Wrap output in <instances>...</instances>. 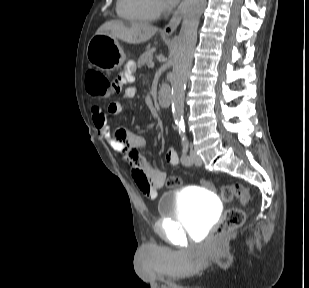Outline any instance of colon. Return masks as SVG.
Here are the masks:
<instances>
[{
  "label": "colon",
  "instance_id": "obj_1",
  "mask_svg": "<svg viewBox=\"0 0 309 288\" xmlns=\"http://www.w3.org/2000/svg\"><path fill=\"white\" fill-rule=\"evenodd\" d=\"M85 85L87 91L92 96L101 99H107L114 93H119L122 90L119 82H110L104 74L98 71H89L87 73ZM165 183L170 188H177L181 185V179L177 176H171L166 179ZM201 185L205 188L215 190L223 202H230L237 199L244 205L249 201V193L242 184L234 183L216 187L213 184L203 180L201 181ZM244 221L245 213L241 208L233 207L226 210L222 220L218 223L213 232V239L222 238L229 231L243 225Z\"/></svg>",
  "mask_w": 309,
  "mask_h": 288
}]
</instances>
